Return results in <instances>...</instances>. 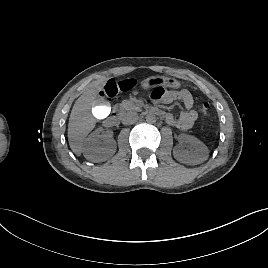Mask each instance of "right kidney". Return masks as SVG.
<instances>
[{
	"label": "right kidney",
	"mask_w": 268,
	"mask_h": 268,
	"mask_svg": "<svg viewBox=\"0 0 268 268\" xmlns=\"http://www.w3.org/2000/svg\"><path fill=\"white\" fill-rule=\"evenodd\" d=\"M102 129L92 132L85 140L83 145L84 157L92 162H102L110 158L116 152V141L112 138L106 139L103 143Z\"/></svg>",
	"instance_id": "obj_1"
}]
</instances>
